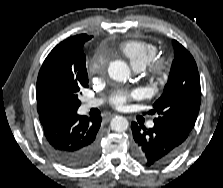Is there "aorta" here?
I'll return each instance as SVG.
<instances>
[{
    "mask_svg": "<svg viewBox=\"0 0 223 188\" xmlns=\"http://www.w3.org/2000/svg\"><path fill=\"white\" fill-rule=\"evenodd\" d=\"M108 74L110 78L122 82L126 81L130 76V69L128 65L121 61H112L108 67ZM129 122L123 116H116L110 122V127L113 131L124 132L128 129Z\"/></svg>",
    "mask_w": 223,
    "mask_h": 188,
    "instance_id": "obj_1",
    "label": "aorta"
}]
</instances>
